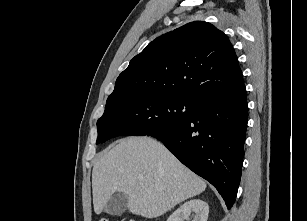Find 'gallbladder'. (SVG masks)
<instances>
[{"label":"gallbladder","instance_id":"1","mask_svg":"<svg viewBox=\"0 0 307 221\" xmlns=\"http://www.w3.org/2000/svg\"><path fill=\"white\" fill-rule=\"evenodd\" d=\"M128 207V197L124 193H115L104 207V211L110 215L123 214Z\"/></svg>","mask_w":307,"mask_h":221}]
</instances>
